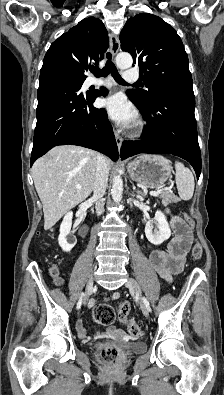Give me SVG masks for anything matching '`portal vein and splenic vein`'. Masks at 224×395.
Listing matches in <instances>:
<instances>
[{
    "label": "portal vein and splenic vein",
    "instance_id": "obj_1",
    "mask_svg": "<svg viewBox=\"0 0 224 395\" xmlns=\"http://www.w3.org/2000/svg\"><path fill=\"white\" fill-rule=\"evenodd\" d=\"M76 188L77 189H81V186H77ZM163 190H165V189H160V190H157V191H151L150 195L151 196H158Z\"/></svg>",
    "mask_w": 224,
    "mask_h": 395
}]
</instances>
